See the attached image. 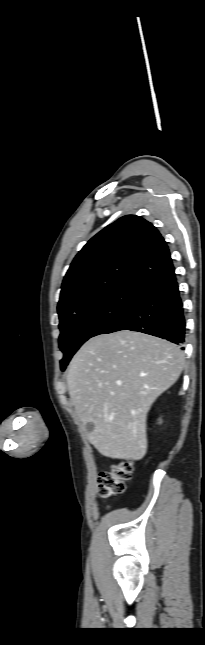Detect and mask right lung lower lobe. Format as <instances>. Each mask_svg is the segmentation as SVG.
I'll return each mask as SVG.
<instances>
[{"mask_svg":"<svg viewBox=\"0 0 205 645\" xmlns=\"http://www.w3.org/2000/svg\"><path fill=\"white\" fill-rule=\"evenodd\" d=\"M138 300L101 334L138 331L182 344L185 338L183 303L172 266L141 285Z\"/></svg>","mask_w":205,"mask_h":645,"instance_id":"1","label":"right lung lower lobe"}]
</instances>
